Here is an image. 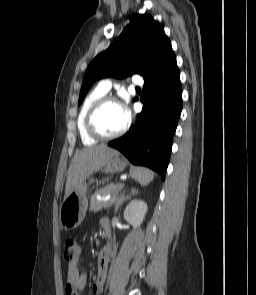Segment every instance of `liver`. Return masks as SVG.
<instances>
[{
  "label": "liver",
  "instance_id": "1",
  "mask_svg": "<svg viewBox=\"0 0 256 295\" xmlns=\"http://www.w3.org/2000/svg\"><path fill=\"white\" fill-rule=\"evenodd\" d=\"M116 154H119L118 151L106 145L89 147L76 152L67 172L64 199Z\"/></svg>",
  "mask_w": 256,
  "mask_h": 295
}]
</instances>
